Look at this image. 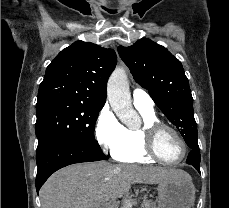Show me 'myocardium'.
Here are the masks:
<instances>
[{
  "instance_id": "obj_1",
  "label": "myocardium",
  "mask_w": 229,
  "mask_h": 208,
  "mask_svg": "<svg viewBox=\"0 0 229 208\" xmlns=\"http://www.w3.org/2000/svg\"><path fill=\"white\" fill-rule=\"evenodd\" d=\"M165 129L170 130L169 134L171 135V138L174 139V143H178V147H185V154L182 158L178 160H162L161 157H159V152H155V139H158L160 133ZM144 135L147 140V143L143 144L144 153H149V158H156L160 162L175 165L184 162L190 153V145L187 139L180 130L172 125L160 121L146 123L144 125Z\"/></svg>"
}]
</instances>
